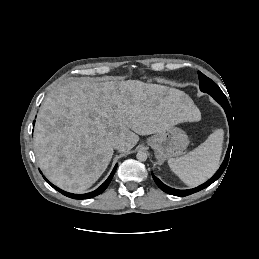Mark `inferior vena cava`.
<instances>
[{"mask_svg":"<svg viewBox=\"0 0 259 259\" xmlns=\"http://www.w3.org/2000/svg\"><path fill=\"white\" fill-rule=\"evenodd\" d=\"M112 146H113V148L119 150L123 146V141L120 140V139H116V140L113 141Z\"/></svg>","mask_w":259,"mask_h":259,"instance_id":"inferior-vena-cava-1","label":"inferior vena cava"}]
</instances>
